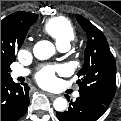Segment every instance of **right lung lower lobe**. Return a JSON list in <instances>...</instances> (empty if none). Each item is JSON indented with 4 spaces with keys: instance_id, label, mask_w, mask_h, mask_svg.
I'll return each instance as SVG.
<instances>
[{
    "instance_id": "right-lung-lower-lobe-1",
    "label": "right lung lower lobe",
    "mask_w": 121,
    "mask_h": 121,
    "mask_svg": "<svg viewBox=\"0 0 121 121\" xmlns=\"http://www.w3.org/2000/svg\"><path fill=\"white\" fill-rule=\"evenodd\" d=\"M29 86L15 83L11 77L1 79V121H16L27 111Z\"/></svg>"
}]
</instances>
